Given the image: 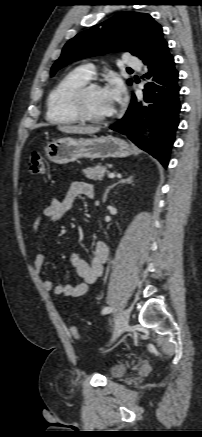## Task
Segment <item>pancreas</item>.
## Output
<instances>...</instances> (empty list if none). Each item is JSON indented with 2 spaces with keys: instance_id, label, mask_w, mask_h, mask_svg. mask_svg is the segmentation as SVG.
<instances>
[{
  "instance_id": "1",
  "label": "pancreas",
  "mask_w": 202,
  "mask_h": 437,
  "mask_svg": "<svg viewBox=\"0 0 202 437\" xmlns=\"http://www.w3.org/2000/svg\"><path fill=\"white\" fill-rule=\"evenodd\" d=\"M106 172H108L107 168L101 164L83 170L85 176L91 180H102Z\"/></svg>"
}]
</instances>
